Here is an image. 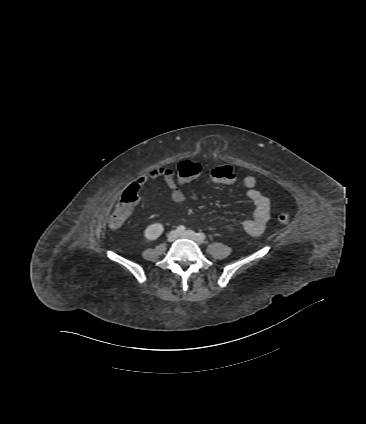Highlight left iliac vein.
Returning a JSON list of instances; mask_svg holds the SVG:
<instances>
[{
	"mask_svg": "<svg viewBox=\"0 0 366 424\" xmlns=\"http://www.w3.org/2000/svg\"><path fill=\"white\" fill-rule=\"evenodd\" d=\"M179 236L182 237V238H187V239L193 240L197 244H201L202 243V240L192 230H187V231L181 232L179 234Z\"/></svg>",
	"mask_w": 366,
	"mask_h": 424,
	"instance_id": "1",
	"label": "left iliac vein"
}]
</instances>
